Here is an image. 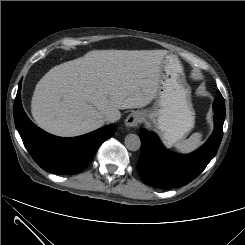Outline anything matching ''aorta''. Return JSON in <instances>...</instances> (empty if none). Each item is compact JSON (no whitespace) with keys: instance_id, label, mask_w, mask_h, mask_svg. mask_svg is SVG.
Returning a JSON list of instances; mask_svg holds the SVG:
<instances>
[{"instance_id":"1","label":"aorta","mask_w":245,"mask_h":245,"mask_svg":"<svg viewBox=\"0 0 245 245\" xmlns=\"http://www.w3.org/2000/svg\"><path fill=\"white\" fill-rule=\"evenodd\" d=\"M125 146L130 151H137L141 147V141L138 135L128 134L124 140Z\"/></svg>"}]
</instances>
